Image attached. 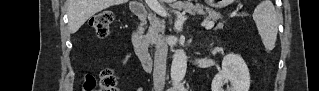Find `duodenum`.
<instances>
[{
    "instance_id": "1",
    "label": "duodenum",
    "mask_w": 319,
    "mask_h": 91,
    "mask_svg": "<svg viewBox=\"0 0 319 91\" xmlns=\"http://www.w3.org/2000/svg\"><path fill=\"white\" fill-rule=\"evenodd\" d=\"M133 13L137 17V23L132 33L133 48L144 70L151 72L153 68V58L148 51L144 33V25L148 18V11L143 4H135L133 6Z\"/></svg>"
}]
</instances>
